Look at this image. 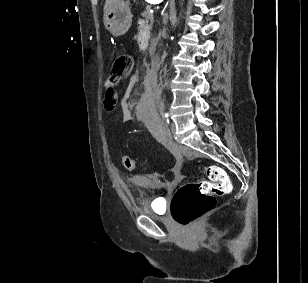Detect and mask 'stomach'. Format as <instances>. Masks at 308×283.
<instances>
[{"label":"stomach","instance_id":"obj_1","mask_svg":"<svg viewBox=\"0 0 308 283\" xmlns=\"http://www.w3.org/2000/svg\"><path fill=\"white\" fill-rule=\"evenodd\" d=\"M105 28L114 36L124 35L132 24V13L128 2L120 0L104 11Z\"/></svg>","mask_w":308,"mask_h":283}]
</instances>
